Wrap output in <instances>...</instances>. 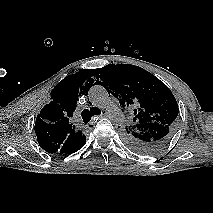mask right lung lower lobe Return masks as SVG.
I'll use <instances>...</instances> for the list:
<instances>
[{"label": "right lung lower lobe", "mask_w": 213, "mask_h": 213, "mask_svg": "<svg viewBox=\"0 0 213 213\" xmlns=\"http://www.w3.org/2000/svg\"><path fill=\"white\" fill-rule=\"evenodd\" d=\"M86 144V138L74 149H72L71 151L67 152L66 154H71L74 153L76 151H78L79 149H81L84 145Z\"/></svg>", "instance_id": "obj_1"}]
</instances>
